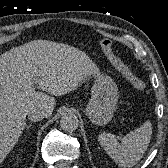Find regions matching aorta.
<instances>
[{
    "mask_svg": "<svg viewBox=\"0 0 168 168\" xmlns=\"http://www.w3.org/2000/svg\"><path fill=\"white\" fill-rule=\"evenodd\" d=\"M79 125V120L77 116L73 113H68L62 116L60 120V126L64 131L73 132L77 129Z\"/></svg>",
    "mask_w": 168,
    "mask_h": 168,
    "instance_id": "aorta-1",
    "label": "aorta"
}]
</instances>
